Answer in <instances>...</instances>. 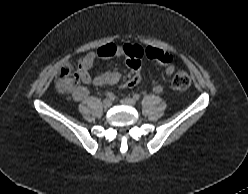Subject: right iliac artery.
Wrapping results in <instances>:
<instances>
[{
	"label": "right iliac artery",
	"instance_id": "obj_1",
	"mask_svg": "<svg viewBox=\"0 0 248 194\" xmlns=\"http://www.w3.org/2000/svg\"><path fill=\"white\" fill-rule=\"evenodd\" d=\"M109 99L114 100L115 99V95L111 92H108L106 95Z\"/></svg>",
	"mask_w": 248,
	"mask_h": 194
}]
</instances>
